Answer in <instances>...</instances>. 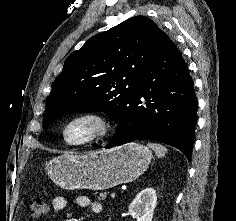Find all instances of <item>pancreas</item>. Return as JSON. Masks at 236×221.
Listing matches in <instances>:
<instances>
[{
    "label": "pancreas",
    "instance_id": "1",
    "mask_svg": "<svg viewBox=\"0 0 236 221\" xmlns=\"http://www.w3.org/2000/svg\"><path fill=\"white\" fill-rule=\"evenodd\" d=\"M106 193H100L98 196V200H104L106 198Z\"/></svg>",
    "mask_w": 236,
    "mask_h": 221
}]
</instances>
